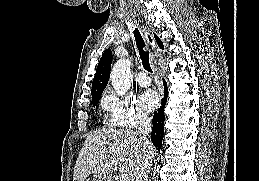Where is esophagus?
<instances>
[{
	"label": "esophagus",
	"mask_w": 259,
	"mask_h": 181,
	"mask_svg": "<svg viewBox=\"0 0 259 181\" xmlns=\"http://www.w3.org/2000/svg\"><path fill=\"white\" fill-rule=\"evenodd\" d=\"M144 35H145V38H146L148 44H149L152 48H155V47H156V44H155V40H154V38H153L152 33H151L148 29L144 28Z\"/></svg>",
	"instance_id": "obj_1"
}]
</instances>
